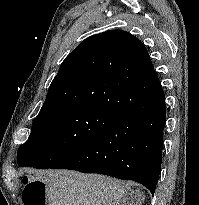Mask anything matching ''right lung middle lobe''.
<instances>
[{"instance_id": "dd1d6c3e", "label": "right lung middle lobe", "mask_w": 199, "mask_h": 205, "mask_svg": "<svg viewBox=\"0 0 199 205\" xmlns=\"http://www.w3.org/2000/svg\"><path fill=\"white\" fill-rule=\"evenodd\" d=\"M118 116L92 106L40 111L28 140L18 150L20 167L48 169L92 142Z\"/></svg>"}]
</instances>
